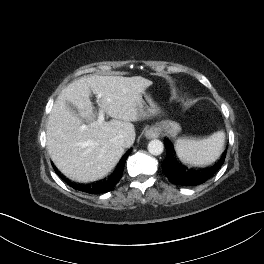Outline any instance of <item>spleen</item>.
I'll return each mask as SVG.
<instances>
[{
  "instance_id": "1",
  "label": "spleen",
  "mask_w": 264,
  "mask_h": 264,
  "mask_svg": "<svg viewBox=\"0 0 264 264\" xmlns=\"http://www.w3.org/2000/svg\"><path fill=\"white\" fill-rule=\"evenodd\" d=\"M225 133L218 131L206 139H177L175 149L180 159L192 166L203 167L215 162L223 152Z\"/></svg>"
}]
</instances>
